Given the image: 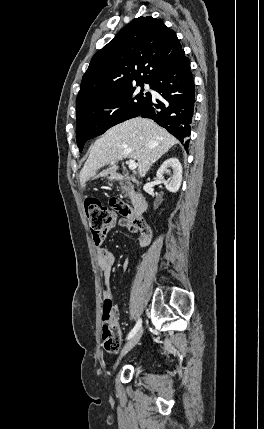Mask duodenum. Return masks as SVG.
<instances>
[{
    "instance_id": "duodenum-1",
    "label": "duodenum",
    "mask_w": 264,
    "mask_h": 429,
    "mask_svg": "<svg viewBox=\"0 0 264 429\" xmlns=\"http://www.w3.org/2000/svg\"><path fill=\"white\" fill-rule=\"evenodd\" d=\"M112 178L115 181H126L129 182L131 179L127 176H124L119 173L113 174ZM133 213L132 218L135 221H140L142 219L143 213L147 209V201L146 198L143 196V194L136 192L133 197Z\"/></svg>"
}]
</instances>
